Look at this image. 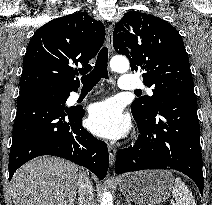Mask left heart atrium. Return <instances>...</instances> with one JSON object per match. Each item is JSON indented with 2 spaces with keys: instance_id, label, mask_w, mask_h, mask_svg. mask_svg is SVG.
Masks as SVG:
<instances>
[{
  "instance_id": "obj_1",
  "label": "left heart atrium",
  "mask_w": 212,
  "mask_h": 205,
  "mask_svg": "<svg viewBox=\"0 0 212 205\" xmlns=\"http://www.w3.org/2000/svg\"><path fill=\"white\" fill-rule=\"evenodd\" d=\"M87 127L97 136L117 139L126 135L130 121L119 103L108 99L90 107Z\"/></svg>"
}]
</instances>
